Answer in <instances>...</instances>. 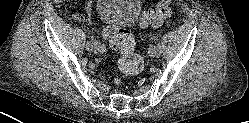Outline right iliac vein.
Returning a JSON list of instances; mask_svg holds the SVG:
<instances>
[{"label": "right iliac vein", "instance_id": "63e3f726", "mask_svg": "<svg viewBox=\"0 0 249 123\" xmlns=\"http://www.w3.org/2000/svg\"><path fill=\"white\" fill-rule=\"evenodd\" d=\"M85 48L87 51H92L94 49V46L91 42H87L86 45H85Z\"/></svg>", "mask_w": 249, "mask_h": 123}]
</instances>
